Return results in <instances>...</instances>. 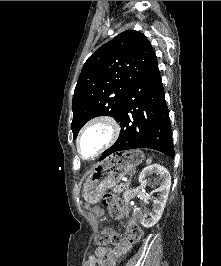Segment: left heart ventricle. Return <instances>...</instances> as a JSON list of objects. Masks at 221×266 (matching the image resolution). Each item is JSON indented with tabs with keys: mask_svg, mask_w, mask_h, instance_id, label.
Wrapping results in <instances>:
<instances>
[{
	"mask_svg": "<svg viewBox=\"0 0 221 266\" xmlns=\"http://www.w3.org/2000/svg\"><path fill=\"white\" fill-rule=\"evenodd\" d=\"M109 130L105 125H96L83 136L80 148L83 156H92L107 140Z\"/></svg>",
	"mask_w": 221,
	"mask_h": 266,
	"instance_id": "left-heart-ventricle-1",
	"label": "left heart ventricle"
}]
</instances>
